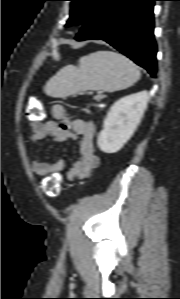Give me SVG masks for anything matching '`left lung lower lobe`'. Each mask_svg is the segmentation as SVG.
Returning a JSON list of instances; mask_svg holds the SVG:
<instances>
[{"label":"left lung lower lobe","mask_w":180,"mask_h":299,"mask_svg":"<svg viewBox=\"0 0 180 299\" xmlns=\"http://www.w3.org/2000/svg\"><path fill=\"white\" fill-rule=\"evenodd\" d=\"M157 0H99L75 39L103 40L156 74L153 7Z\"/></svg>","instance_id":"left-lung-lower-lobe-1"}]
</instances>
